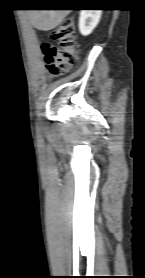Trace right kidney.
<instances>
[{
	"instance_id": "ca27d5eb",
	"label": "right kidney",
	"mask_w": 145,
	"mask_h": 278,
	"mask_svg": "<svg viewBox=\"0 0 145 278\" xmlns=\"http://www.w3.org/2000/svg\"><path fill=\"white\" fill-rule=\"evenodd\" d=\"M102 10H81L79 30L84 36L89 35L100 21Z\"/></svg>"
}]
</instances>
